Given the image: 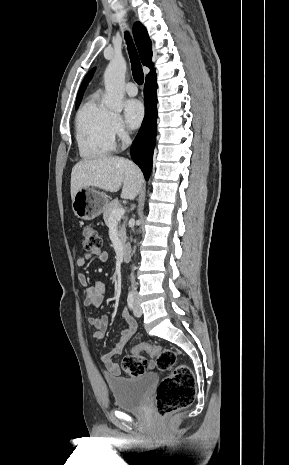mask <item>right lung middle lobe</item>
<instances>
[{
    "label": "right lung middle lobe",
    "instance_id": "1",
    "mask_svg": "<svg viewBox=\"0 0 289 465\" xmlns=\"http://www.w3.org/2000/svg\"><path fill=\"white\" fill-rule=\"evenodd\" d=\"M79 104H80V101L76 102V105H75L76 108L79 106Z\"/></svg>",
    "mask_w": 289,
    "mask_h": 465
}]
</instances>
